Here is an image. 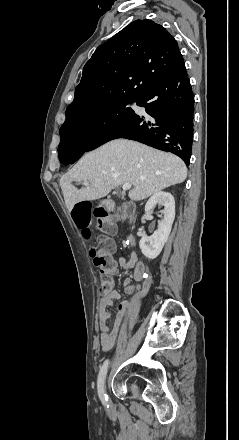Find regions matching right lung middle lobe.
Here are the masks:
<instances>
[{
	"mask_svg": "<svg viewBox=\"0 0 239 440\" xmlns=\"http://www.w3.org/2000/svg\"><path fill=\"white\" fill-rule=\"evenodd\" d=\"M138 98L117 97L81 115L65 120L60 128L58 152L66 147L86 148L97 136L128 118L133 110L126 106Z\"/></svg>",
	"mask_w": 239,
	"mask_h": 440,
	"instance_id": "dd1d6c3e",
	"label": "right lung middle lobe"
}]
</instances>
